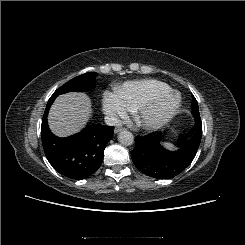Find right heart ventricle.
<instances>
[{"label": "right heart ventricle", "instance_id": "obj_1", "mask_svg": "<svg viewBox=\"0 0 245 245\" xmlns=\"http://www.w3.org/2000/svg\"><path fill=\"white\" fill-rule=\"evenodd\" d=\"M172 88L165 82L156 79H144L126 82L117 87L116 92L130 110L153 97L170 92Z\"/></svg>", "mask_w": 245, "mask_h": 245}]
</instances>
